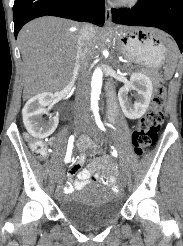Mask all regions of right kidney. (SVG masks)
<instances>
[{"label": "right kidney", "instance_id": "1", "mask_svg": "<svg viewBox=\"0 0 183 246\" xmlns=\"http://www.w3.org/2000/svg\"><path fill=\"white\" fill-rule=\"evenodd\" d=\"M54 95L50 92H44L30 98L25 104L22 115L23 123L28 133L37 139H44L50 136L57 128L58 117H49V121L43 120L42 116L46 114L45 107L53 103Z\"/></svg>", "mask_w": 183, "mask_h": 246}]
</instances>
